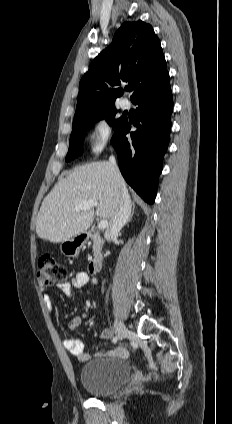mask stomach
<instances>
[{"mask_svg":"<svg viewBox=\"0 0 232 424\" xmlns=\"http://www.w3.org/2000/svg\"><path fill=\"white\" fill-rule=\"evenodd\" d=\"M86 239L80 235L70 238L69 240L63 241L60 245L62 254L67 257H76L79 255L82 246Z\"/></svg>","mask_w":232,"mask_h":424,"instance_id":"stomach-1","label":"stomach"}]
</instances>
